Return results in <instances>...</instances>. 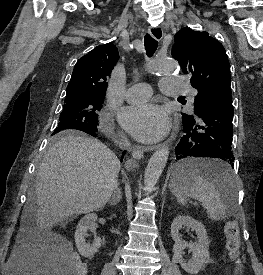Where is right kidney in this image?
Here are the masks:
<instances>
[{"label": "right kidney", "mask_w": 263, "mask_h": 275, "mask_svg": "<svg viewBox=\"0 0 263 275\" xmlns=\"http://www.w3.org/2000/svg\"><path fill=\"white\" fill-rule=\"evenodd\" d=\"M97 215L96 214H87L85 215L78 223L75 231V242L79 253L84 257L93 256L101 247L102 240L100 237L94 238L93 244H88L85 242V236L87 235L88 230L95 229Z\"/></svg>", "instance_id": "1"}]
</instances>
